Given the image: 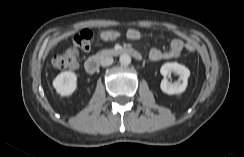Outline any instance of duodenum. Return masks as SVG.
Returning <instances> with one entry per match:
<instances>
[{
	"mask_svg": "<svg viewBox=\"0 0 244 157\" xmlns=\"http://www.w3.org/2000/svg\"><path fill=\"white\" fill-rule=\"evenodd\" d=\"M123 54L130 55L137 60H141V58H142L141 53L133 48L119 47V48L109 49V50H105V51L99 53L98 55L89 57L85 61V70L88 73H95L98 71V69L100 67V62H101L102 58L111 57V56H119V55H123Z\"/></svg>",
	"mask_w": 244,
	"mask_h": 157,
	"instance_id": "1",
	"label": "duodenum"
}]
</instances>
